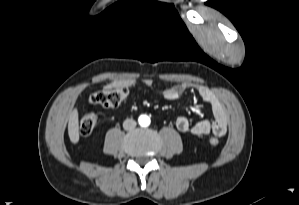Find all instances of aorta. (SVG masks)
<instances>
[{
    "mask_svg": "<svg viewBox=\"0 0 299 205\" xmlns=\"http://www.w3.org/2000/svg\"><path fill=\"white\" fill-rule=\"evenodd\" d=\"M139 124L143 127H146L150 124V118L147 115H141L138 119Z\"/></svg>",
    "mask_w": 299,
    "mask_h": 205,
    "instance_id": "762f6f07",
    "label": "aorta"
}]
</instances>
